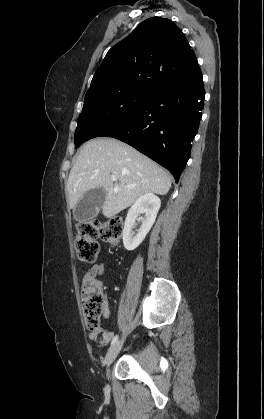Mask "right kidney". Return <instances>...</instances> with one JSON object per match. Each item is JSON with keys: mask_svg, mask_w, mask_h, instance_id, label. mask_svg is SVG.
I'll return each instance as SVG.
<instances>
[{"mask_svg": "<svg viewBox=\"0 0 264 419\" xmlns=\"http://www.w3.org/2000/svg\"><path fill=\"white\" fill-rule=\"evenodd\" d=\"M160 206V199L153 193H146L135 201L127 213L124 224L123 244L125 249L132 251L145 239L155 222ZM140 214H144V218L139 217ZM136 221L142 222L137 234L132 230Z\"/></svg>", "mask_w": 264, "mask_h": 419, "instance_id": "ca27d5eb", "label": "right kidney"}]
</instances>
